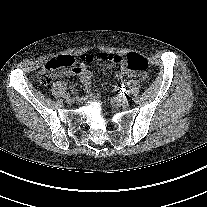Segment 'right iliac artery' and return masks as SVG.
Masks as SVG:
<instances>
[{"instance_id": "82829eb1", "label": "right iliac artery", "mask_w": 207, "mask_h": 207, "mask_svg": "<svg viewBox=\"0 0 207 207\" xmlns=\"http://www.w3.org/2000/svg\"><path fill=\"white\" fill-rule=\"evenodd\" d=\"M70 97V93H66L64 98L67 100Z\"/></svg>"}]
</instances>
